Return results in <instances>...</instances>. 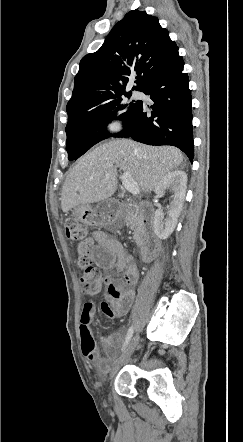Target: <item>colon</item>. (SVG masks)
<instances>
[{
  "mask_svg": "<svg viewBox=\"0 0 243 442\" xmlns=\"http://www.w3.org/2000/svg\"><path fill=\"white\" fill-rule=\"evenodd\" d=\"M64 226L68 239L79 242L77 262L83 270L81 288L88 295H97L102 291L106 280L102 278L100 270L93 266V239L89 237L87 227L76 219L67 218Z\"/></svg>",
  "mask_w": 243,
  "mask_h": 442,
  "instance_id": "colon-1",
  "label": "colon"
}]
</instances>
